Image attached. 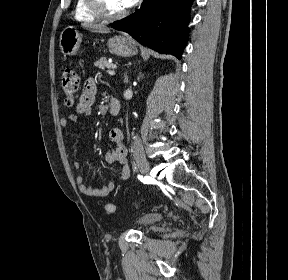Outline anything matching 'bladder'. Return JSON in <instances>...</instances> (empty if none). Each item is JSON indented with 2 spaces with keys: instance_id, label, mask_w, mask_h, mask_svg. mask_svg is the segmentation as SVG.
<instances>
[{
  "instance_id": "bladder-1",
  "label": "bladder",
  "mask_w": 288,
  "mask_h": 280,
  "mask_svg": "<svg viewBox=\"0 0 288 280\" xmlns=\"http://www.w3.org/2000/svg\"><path fill=\"white\" fill-rule=\"evenodd\" d=\"M161 220H162V215L160 213L152 212V213H147V214L142 215L138 219V223L142 226L147 227V226H152Z\"/></svg>"
}]
</instances>
